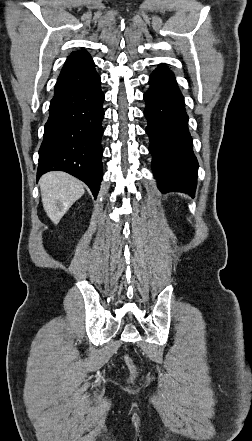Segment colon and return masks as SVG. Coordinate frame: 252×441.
<instances>
[{
	"instance_id": "obj_1",
	"label": "colon",
	"mask_w": 252,
	"mask_h": 441,
	"mask_svg": "<svg viewBox=\"0 0 252 441\" xmlns=\"http://www.w3.org/2000/svg\"><path fill=\"white\" fill-rule=\"evenodd\" d=\"M124 360H125L126 365L129 367V369L133 371L135 369V364H134L132 358L129 355H126Z\"/></svg>"
}]
</instances>
